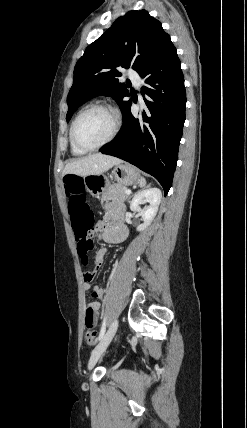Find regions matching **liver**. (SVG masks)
I'll use <instances>...</instances> for the list:
<instances>
[{
	"label": "liver",
	"instance_id": "1",
	"mask_svg": "<svg viewBox=\"0 0 247 428\" xmlns=\"http://www.w3.org/2000/svg\"><path fill=\"white\" fill-rule=\"evenodd\" d=\"M122 162L121 159L113 156L100 153L92 154L67 163L63 170V174H74L82 177L102 174L114 165L121 164Z\"/></svg>",
	"mask_w": 247,
	"mask_h": 428
}]
</instances>
